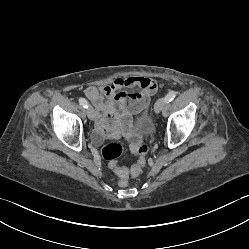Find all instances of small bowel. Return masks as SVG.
I'll list each match as a JSON object with an SVG mask.
<instances>
[{
  "instance_id": "small-bowel-1",
  "label": "small bowel",
  "mask_w": 249,
  "mask_h": 249,
  "mask_svg": "<svg viewBox=\"0 0 249 249\" xmlns=\"http://www.w3.org/2000/svg\"><path fill=\"white\" fill-rule=\"evenodd\" d=\"M154 81L145 77H121L113 83L102 87L89 86L85 95L96 108L98 120L97 130L100 136L116 133V127L122 122L129 124V113L144 110L151 96L156 92L152 87ZM137 87L141 92L126 93V88Z\"/></svg>"
}]
</instances>
